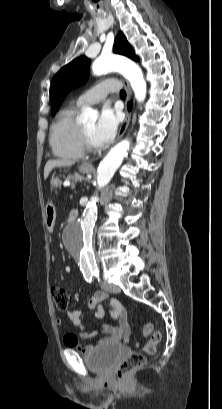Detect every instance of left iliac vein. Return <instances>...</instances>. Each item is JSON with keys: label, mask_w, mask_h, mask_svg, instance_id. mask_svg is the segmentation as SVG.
<instances>
[{"label": "left iliac vein", "mask_w": 222, "mask_h": 409, "mask_svg": "<svg viewBox=\"0 0 222 409\" xmlns=\"http://www.w3.org/2000/svg\"><path fill=\"white\" fill-rule=\"evenodd\" d=\"M104 290L106 291V292H109V293H115V294H117V293H119L120 292V287L118 286V285H116V284H112V283H108V282H104Z\"/></svg>", "instance_id": "left-iliac-vein-1"}]
</instances>
